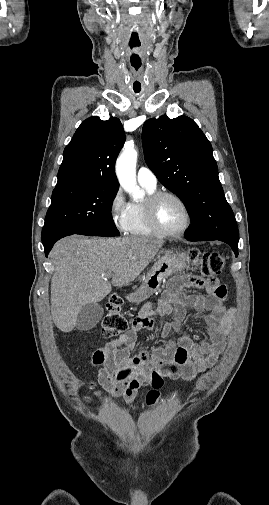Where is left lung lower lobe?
Segmentation results:
<instances>
[{"mask_svg": "<svg viewBox=\"0 0 269 505\" xmlns=\"http://www.w3.org/2000/svg\"><path fill=\"white\" fill-rule=\"evenodd\" d=\"M188 240L189 241H195V240H191V239H188ZM216 240H220V241H223V242L229 244L230 247L232 248V250L234 251L235 255L238 256V242L230 241V240H227V239H216Z\"/></svg>", "mask_w": 269, "mask_h": 505, "instance_id": "1", "label": "left lung lower lobe"}]
</instances>
